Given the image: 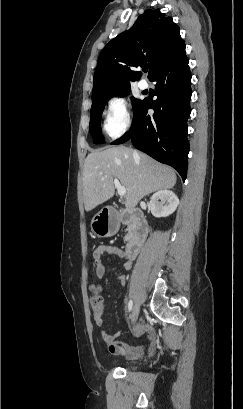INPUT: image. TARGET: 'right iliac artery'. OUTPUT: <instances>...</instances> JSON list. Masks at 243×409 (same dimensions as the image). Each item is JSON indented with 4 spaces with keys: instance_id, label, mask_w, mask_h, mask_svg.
Instances as JSON below:
<instances>
[{
    "instance_id": "82829eb1",
    "label": "right iliac artery",
    "mask_w": 243,
    "mask_h": 409,
    "mask_svg": "<svg viewBox=\"0 0 243 409\" xmlns=\"http://www.w3.org/2000/svg\"><path fill=\"white\" fill-rule=\"evenodd\" d=\"M132 307H133V301L130 300L129 303H128V312H131Z\"/></svg>"
}]
</instances>
